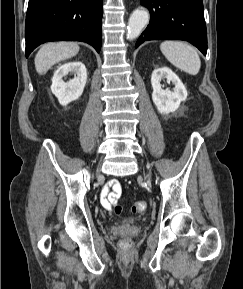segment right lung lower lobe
<instances>
[{"mask_svg":"<svg viewBox=\"0 0 243 289\" xmlns=\"http://www.w3.org/2000/svg\"><path fill=\"white\" fill-rule=\"evenodd\" d=\"M102 0H29L26 57L49 41H82L101 49Z\"/></svg>","mask_w":243,"mask_h":289,"instance_id":"right-lung-lower-lobe-1","label":"right lung lower lobe"}]
</instances>
